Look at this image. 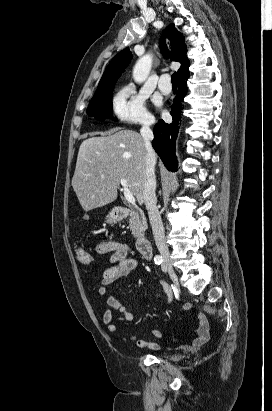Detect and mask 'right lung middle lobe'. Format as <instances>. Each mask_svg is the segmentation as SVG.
Returning <instances> with one entry per match:
<instances>
[{
	"label": "right lung middle lobe",
	"mask_w": 272,
	"mask_h": 411,
	"mask_svg": "<svg viewBox=\"0 0 272 411\" xmlns=\"http://www.w3.org/2000/svg\"><path fill=\"white\" fill-rule=\"evenodd\" d=\"M114 84L104 88H97L89 106L87 113L95 116L99 120H105L112 117V92Z\"/></svg>",
	"instance_id": "dd1d6c3e"
}]
</instances>
